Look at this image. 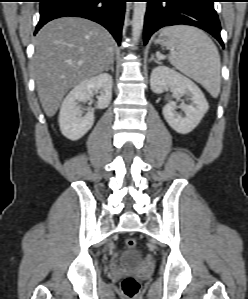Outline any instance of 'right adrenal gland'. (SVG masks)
<instances>
[{"mask_svg":"<svg viewBox=\"0 0 248 299\" xmlns=\"http://www.w3.org/2000/svg\"><path fill=\"white\" fill-rule=\"evenodd\" d=\"M109 70H111L112 72H114V59L112 60L110 66L107 67L105 71L108 72Z\"/></svg>","mask_w":248,"mask_h":299,"instance_id":"1","label":"right adrenal gland"}]
</instances>
